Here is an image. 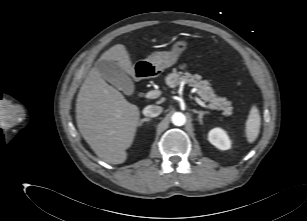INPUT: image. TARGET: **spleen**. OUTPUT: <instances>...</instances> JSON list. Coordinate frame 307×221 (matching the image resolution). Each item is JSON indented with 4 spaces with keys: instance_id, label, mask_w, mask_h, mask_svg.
<instances>
[{
    "instance_id": "obj_1",
    "label": "spleen",
    "mask_w": 307,
    "mask_h": 221,
    "mask_svg": "<svg viewBox=\"0 0 307 221\" xmlns=\"http://www.w3.org/2000/svg\"><path fill=\"white\" fill-rule=\"evenodd\" d=\"M261 117L256 105H252L246 121L245 133L249 143H253L260 132Z\"/></svg>"
}]
</instances>
